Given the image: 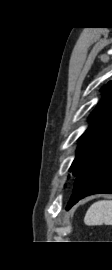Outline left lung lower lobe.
Masks as SVG:
<instances>
[{
  "instance_id": "obj_1",
  "label": "left lung lower lobe",
  "mask_w": 112,
  "mask_h": 270,
  "mask_svg": "<svg viewBox=\"0 0 112 270\" xmlns=\"http://www.w3.org/2000/svg\"><path fill=\"white\" fill-rule=\"evenodd\" d=\"M96 193H112V149L76 178L66 209Z\"/></svg>"
}]
</instances>
